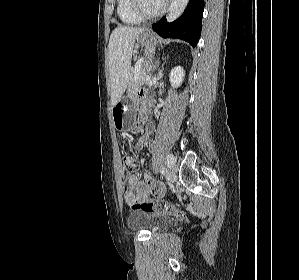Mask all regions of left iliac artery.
Wrapping results in <instances>:
<instances>
[{
	"instance_id": "left-iliac-artery-1",
	"label": "left iliac artery",
	"mask_w": 299,
	"mask_h": 280,
	"mask_svg": "<svg viewBox=\"0 0 299 280\" xmlns=\"http://www.w3.org/2000/svg\"><path fill=\"white\" fill-rule=\"evenodd\" d=\"M166 164H167L168 167H171L175 164V157L172 154L167 155Z\"/></svg>"
}]
</instances>
